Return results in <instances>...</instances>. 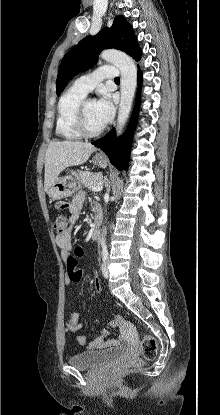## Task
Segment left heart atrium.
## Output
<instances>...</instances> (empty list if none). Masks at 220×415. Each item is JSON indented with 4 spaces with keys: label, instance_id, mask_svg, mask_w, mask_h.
<instances>
[{
    "label": "left heart atrium",
    "instance_id": "1",
    "mask_svg": "<svg viewBox=\"0 0 220 415\" xmlns=\"http://www.w3.org/2000/svg\"><path fill=\"white\" fill-rule=\"evenodd\" d=\"M113 105L110 95L103 91L100 98L95 102V113L102 125L108 123L113 116Z\"/></svg>",
    "mask_w": 220,
    "mask_h": 415
}]
</instances>
